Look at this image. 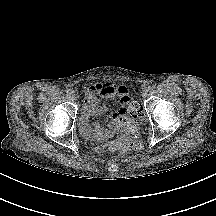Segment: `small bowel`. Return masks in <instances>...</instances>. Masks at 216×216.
<instances>
[{"label": "small bowel", "instance_id": "small-bowel-1", "mask_svg": "<svg viewBox=\"0 0 216 216\" xmlns=\"http://www.w3.org/2000/svg\"><path fill=\"white\" fill-rule=\"evenodd\" d=\"M99 97L118 98L120 108L108 116L111 127L116 119L122 115L129 104V91L125 86L110 83L95 84L90 86L85 93V100L82 108L80 126L82 132L98 141H104L109 131L104 129L100 123H92V118L107 111V106L101 104Z\"/></svg>", "mask_w": 216, "mask_h": 216}]
</instances>
